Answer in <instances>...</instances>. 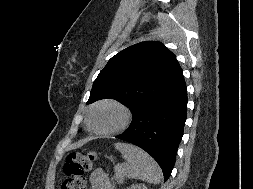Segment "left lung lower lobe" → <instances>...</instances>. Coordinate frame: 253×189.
<instances>
[{"instance_id": "0a47b994", "label": "left lung lower lobe", "mask_w": 253, "mask_h": 189, "mask_svg": "<svg viewBox=\"0 0 253 189\" xmlns=\"http://www.w3.org/2000/svg\"><path fill=\"white\" fill-rule=\"evenodd\" d=\"M187 115L183 74L153 101L141 108L118 139L148 152L160 165L166 181L174 167Z\"/></svg>"}]
</instances>
